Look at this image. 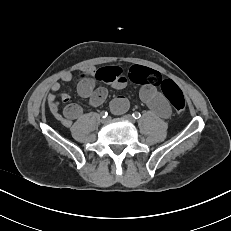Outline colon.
Instances as JSON below:
<instances>
[{
  "instance_id": "5ec220e1",
  "label": "colon",
  "mask_w": 231,
  "mask_h": 231,
  "mask_svg": "<svg viewBox=\"0 0 231 231\" xmlns=\"http://www.w3.org/2000/svg\"><path fill=\"white\" fill-rule=\"evenodd\" d=\"M128 76L131 81L138 84L159 86L177 113L185 110L186 102L180 88L172 80L163 79L159 72L136 66L130 69Z\"/></svg>"
}]
</instances>
